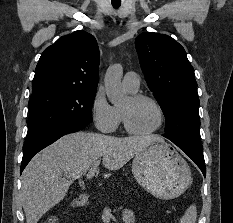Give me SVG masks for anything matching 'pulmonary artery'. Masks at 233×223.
Returning a JSON list of instances; mask_svg holds the SVG:
<instances>
[{
	"label": "pulmonary artery",
	"instance_id": "obj_1",
	"mask_svg": "<svg viewBox=\"0 0 233 223\" xmlns=\"http://www.w3.org/2000/svg\"><path fill=\"white\" fill-rule=\"evenodd\" d=\"M123 86L130 92H136L140 86V77L136 72L129 71L123 77Z\"/></svg>",
	"mask_w": 233,
	"mask_h": 223
}]
</instances>
